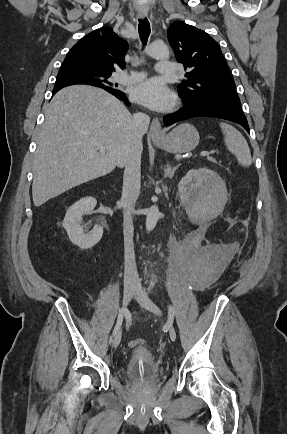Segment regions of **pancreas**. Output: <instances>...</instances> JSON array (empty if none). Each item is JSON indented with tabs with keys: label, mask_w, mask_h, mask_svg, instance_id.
Returning <instances> with one entry per match:
<instances>
[{
	"label": "pancreas",
	"mask_w": 287,
	"mask_h": 434,
	"mask_svg": "<svg viewBox=\"0 0 287 434\" xmlns=\"http://www.w3.org/2000/svg\"><path fill=\"white\" fill-rule=\"evenodd\" d=\"M209 161L216 162L215 159H213V158H209Z\"/></svg>",
	"instance_id": "1"
}]
</instances>
